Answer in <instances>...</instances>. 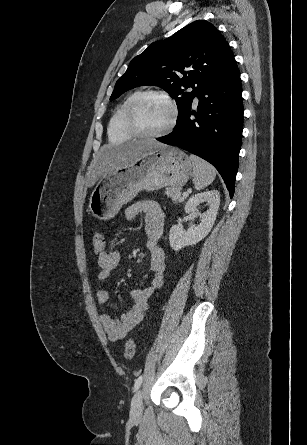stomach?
<instances>
[{
    "mask_svg": "<svg viewBox=\"0 0 307 445\" xmlns=\"http://www.w3.org/2000/svg\"><path fill=\"white\" fill-rule=\"evenodd\" d=\"M193 170L191 158L175 146H158L141 154L130 166L103 174L89 200V210L99 220H109L140 190L183 186Z\"/></svg>",
    "mask_w": 307,
    "mask_h": 445,
    "instance_id": "stomach-1",
    "label": "stomach"
}]
</instances>
